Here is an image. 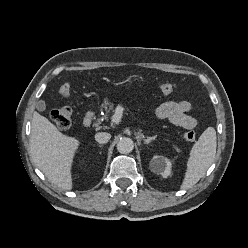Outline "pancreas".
Instances as JSON below:
<instances>
[{"label":"pancreas","mask_w":248,"mask_h":248,"mask_svg":"<svg viewBox=\"0 0 248 248\" xmlns=\"http://www.w3.org/2000/svg\"><path fill=\"white\" fill-rule=\"evenodd\" d=\"M102 107L105 109V111H106V114L103 116V118L102 119H107L108 117V112L109 111H111L112 109H113V104L112 103H109V102H105L103 105H102ZM100 123H101V121L100 120H97V122L94 124V126L96 127V128H100Z\"/></svg>","instance_id":"pancreas-1"}]
</instances>
